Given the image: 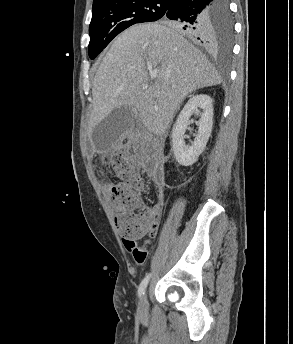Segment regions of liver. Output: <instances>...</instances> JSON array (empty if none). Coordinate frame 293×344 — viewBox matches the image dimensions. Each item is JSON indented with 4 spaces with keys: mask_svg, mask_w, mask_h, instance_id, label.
I'll list each match as a JSON object with an SVG mask.
<instances>
[{
    "mask_svg": "<svg viewBox=\"0 0 293 344\" xmlns=\"http://www.w3.org/2000/svg\"><path fill=\"white\" fill-rule=\"evenodd\" d=\"M220 83L212 64L173 27L135 25L115 38L97 70L89 126L128 106L150 132L161 135L189 93Z\"/></svg>",
    "mask_w": 293,
    "mask_h": 344,
    "instance_id": "obj_1",
    "label": "liver"
}]
</instances>
